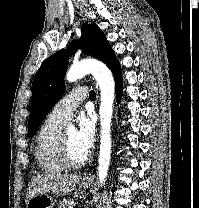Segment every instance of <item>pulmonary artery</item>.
I'll return each mask as SVG.
<instances>
[{"instance_id":"e3ab8cb5","label":"pulmonary artery","mask_w":199,"mask_h":208,"mask_svg":"<svg viewBox=\"0 0 199 208\" xmlns=\"http://www.w3.org/2000/svg\"><path fill=\"white\" fill-rule=\"evenodd\" d=\"M87 96L88 90L85 87L70 91L59 103L53 107L49 117L59 120L63 123L68 122L71 119L75 109Z\"/></svg>"}]
</instances>
